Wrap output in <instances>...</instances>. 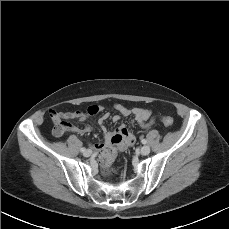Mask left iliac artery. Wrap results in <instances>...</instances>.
Here are the masks:
<instances>
[{
  "label": "left iliac artery",
  "mask_w": 229,
  "mask_h": 229,
  "mask_svg": "<svg viewBox=\"0 0 229 229\" xmlns=\"http://www.w3.org/2000/svg\"><path fill=\"white\" fill-rule=\"evenodd\" d=\"M141 142H142L143 144H146V143H147V140L144 139V138H142Z\"/></svg>",
  "instance_id": "1"
}]
</instances>
